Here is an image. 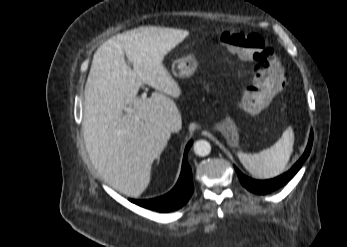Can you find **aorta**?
Listing matches in <instances>:
<instances>
[{
  "mask_svg": "<svg viewBox=\"0 0 347 247\" xmlns=\"http://www.w3.org/2000/svg\"><path fill=\"white\" fill-rule=\"evenodd\" d=\"M211 152V145L206 140H198L194 144V153L198 156L205 157Z\"/></svg>",
  "mask_w": 347,
  "mask_h": 247,
  "instance_id": "obj_1",
  "label": "aorta"
}]
</instances>
